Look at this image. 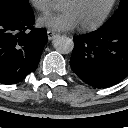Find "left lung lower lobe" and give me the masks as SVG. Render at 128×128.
<instances>
[{
  "instance_id": "obj_1",
  "label": "left lung lower lobe",
  "mask_w": 128,
  "mask_h": 128,
  "mask_svg": "<svg viewBox=\"0 0 128 128\" xmlns=\"http://www.w3.org/2000/svg\"><path fill=\"white\" fill-rule=\"evenodd\" d=\"M73 72L95 88L115 85L128 76V17L74 38Z\"/></svg>"
}]
</instances>
